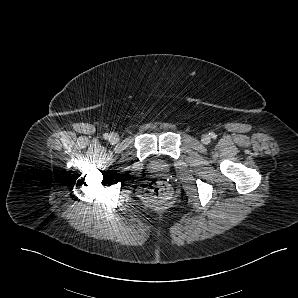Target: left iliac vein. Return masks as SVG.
<instances>
[{"label":"left iliac vein","instance_id":"obj_1","mask_svg":"<svg viewBox=\"0 0 298 298\" xmlns=\"http://www.w3.org/2000/svg\"><path fill=\"white\" fill-rule=\"evenodd\" d=\"M210 137L208 136V135H203L202 137H201V141H202V143H204V144H208L209 142H210Z\"/></svg>","mask_w":298,"mask_h":298}]
</instances>
